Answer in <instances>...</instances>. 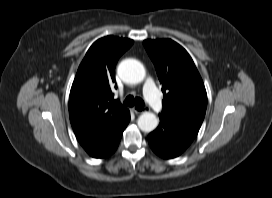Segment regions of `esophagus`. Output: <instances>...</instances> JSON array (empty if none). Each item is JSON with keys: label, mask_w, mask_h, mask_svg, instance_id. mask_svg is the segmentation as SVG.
<instances>
[{"label": "esophagus", "mask_w": 272, "mask_h": 198, "mask_svg": "<svg viewBox=\"0 0 272 198\" xmlns=\"http://www.w3.org/2000/svg\"><path fill=\"white\" fill-rule=\"evenodd\" d=\"M133 111L136 113V114H140V113H144L146 111H148V108L147 107H133Z\"/></svg>", "instance_id": "obj_1"}]
</instances>
